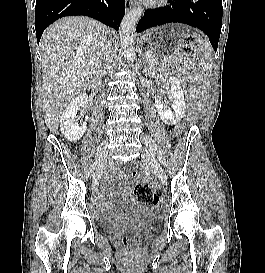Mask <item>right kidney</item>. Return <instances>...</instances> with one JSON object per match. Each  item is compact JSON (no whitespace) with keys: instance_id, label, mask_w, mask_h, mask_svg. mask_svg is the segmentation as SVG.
<instances>
[{"instance_id":"right-kidney-1","label":"right kidney","mask_w":265,"mask_h":273,"mask_svg":"<svg viewBox=\"0 0 265 273\" xmlns=\"http://www.w3.org/2000/svg\"><path fill=\"white\" fill-rule=\"evenodd\" d=\"M87 99L86 93H80L69 103L60 117V129L70 142L80 140L86 131L87 123L83 122L81 126H78L76 118L80 108L87 104Z\"/></svg>"}]
</instances>
